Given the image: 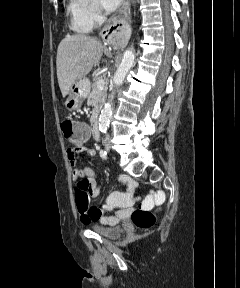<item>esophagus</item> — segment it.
I'll list each match as a JSON object with an SVG mask.
<instances>
[{"label": "esophagus", "instance_id": "obj_1", "mask_svg": "<svg viewBox=\"0 0 240 288\" xmlns=\"http://www.w3.org/2000/svg\"><path fill=\"white\" fill-rule=\"evenodd\" d=\"M130 0H123L117 14L107 23L101 36L112 46H121L127 42L128 22L130 20Z\"/></svg>", "mask_w": 240, "mask_h": 288}]
</instances>
